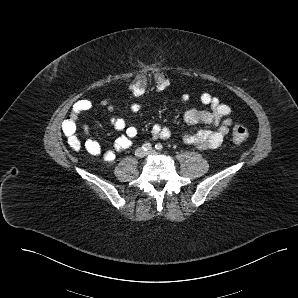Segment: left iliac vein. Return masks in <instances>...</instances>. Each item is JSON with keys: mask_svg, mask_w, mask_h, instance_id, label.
<instances>
[{"mask_svg": "<svg viewBox=\"0 0 298 298\" xmlns=\"http://www.w3.org/2000/svg\"><path fill=\"white\" fill-rule=\"evenodd\" d=\"M158 153L155 150H150L147 152V155L156 156Z\"/></svg>", "mask_w": 298, "mask_h": 298, "instance_id": "1", "label": "left iliac vein"}]
</instances>
